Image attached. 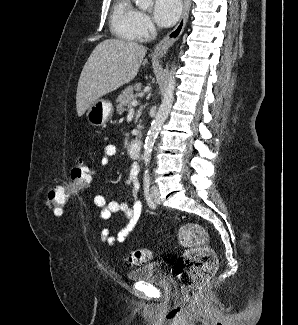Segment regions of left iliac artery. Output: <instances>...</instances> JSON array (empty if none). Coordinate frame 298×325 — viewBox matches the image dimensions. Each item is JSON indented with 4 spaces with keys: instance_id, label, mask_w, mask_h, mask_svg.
I'll use <instances>...</instances> for the list:
<instances>
[{
    "instance_id": "44dca946",
    "label": "left iliac artery",
    "mask_w": 298,
    "mask_h": 325,
    "mask_svg": "<svg viewBox=\"0 0 298 325\" xmlns=\"http://www.w3.org/2000/svg\"><path fill=\"white\" fill-rule=\"evenodd\" d=\"M150 183H151V177L148 171L144 173V180H143V188H144V195L147 201V204L150 208L154 209L155 208V203L153 202L150 193H149V188H150Z\"/></svg>"
}]
</instances>
